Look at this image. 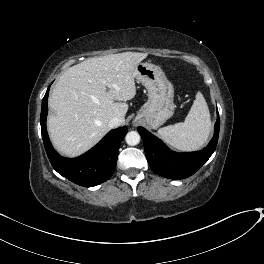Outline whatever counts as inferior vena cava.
<instances>
[{
    "instance_id": "602c4592",
    "label": "inferior vena cava",
    "mask_w": 264,
    "mask_h": 264,
    "mask_svg": "<svg viewBox=\"0 0 264 264\" xmlns=\"http://www.w3.org/2000/svg\"><path fill=\"white\" fill-rule=\"evenodd\" d=\"M123 120L120 117H113L108 123L110 128H116L122 124Z\"/></svg>"
}]
</instances>
